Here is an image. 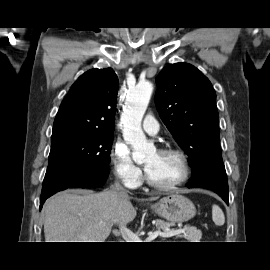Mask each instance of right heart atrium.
<instances>
[{
	"label": "right heart atrium",
	"instance_id": "1",
	"mask_svg": "<svg viewBox=\"0 0 270 270\" xmlns=\"http://www.w3.org/2000/svg\"><path fill=\"white\" fill-rule=\"evenodd\" d=\"M114 175L128 187H136L142 179L141 169L134 163L127 146L115 142L110 152Z\"/></svg>",
	"mask_w": 270,
	"mask_h": 270
}]
</instances>
